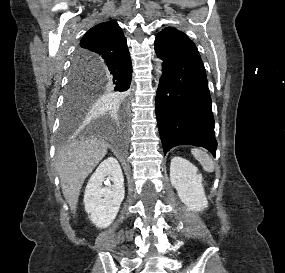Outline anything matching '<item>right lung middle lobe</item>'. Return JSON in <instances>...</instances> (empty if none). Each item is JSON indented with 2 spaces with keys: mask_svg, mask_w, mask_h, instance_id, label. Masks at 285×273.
Returning a JSON list of instances; mask_svg holds the SVG:
<instances>
[{
  "mask_svg": "<svg viewBox=\"0 0 285 273\" xmlns=\"http://www.w3.org/2000/svg\"><path fill=\"white\" fill-rule=\"evenodd\" d=\"M99 89L98 77L89 73H78L72 66L61 121L64 131L77 125L101 96L104 95L103 99L112 98L115 101H121L123 98L120 93L114 94L110 88L103 92Z\"/></svg>",
  "mask_w": 285,
  "mask_h": 273,
  "instance_id": "1",
  "label": "right lung middle lobe"
}]
</instances>
